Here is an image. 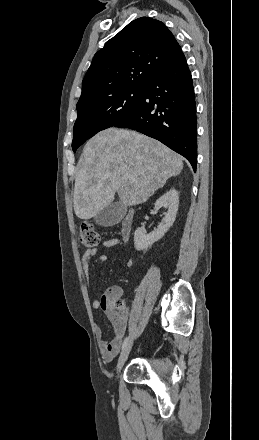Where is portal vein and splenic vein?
<instances>
[{
  "label": "portal vein and splenic vein",
  "instance_id": "portal-vein-and-splenic-vein-1",
  "mask_svg": "<svg viewBox=\"0 0 259 440\" xmlns=\"http://www.w3.org/2000/svg\"><path fill=\"white\" fill-rule=\"evenodd\" d=\"M125 178L129 180H133V177H131L130 175H126Z\"/></svg>",
  "mask_w": 259,
  "mask_h": 440
}]
</instances>
